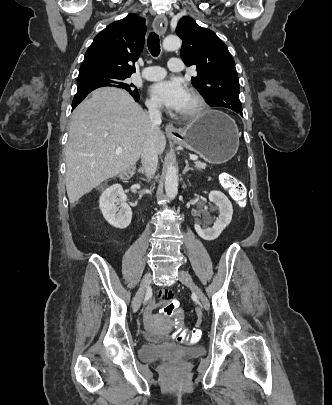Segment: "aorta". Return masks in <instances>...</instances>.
I'll list each match as a JSON object with an SVG mask.
<instances>
[{
	"label": "aorta",
	"instance_id": "obj_1",
	"mask_svg": "<svg viewBox=\"0 0 332 405\" xmlns=\"http://www.w3.org/2000/svg\"><path fill=\"white\" fill-rule=\"evenodd\" d=\"M181 39L178 36H167L163 41V48L174 51L181 47ZM165 192L170 199H174L178 193V174L174 165L169 164L165 175Z\"/></svg>",
	"mask_w": 332,
	"mask_h": 405
}]
</instances>
